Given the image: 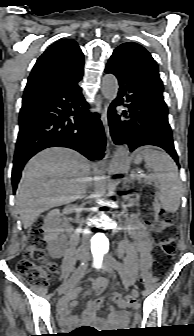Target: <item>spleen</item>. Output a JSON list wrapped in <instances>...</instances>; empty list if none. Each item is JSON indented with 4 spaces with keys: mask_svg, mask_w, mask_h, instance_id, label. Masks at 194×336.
I'll return each mask as SVG.
<instances>
[{
    "mask_svg": "<svg viewBox=\"0 0 194 336\" xmlns=\"http://www.w3.org/2000/svg\"><path fill=\"white\" fill-rule=\"evenodd\" d=\"M142 160L156 173L160 190L157 198L164 210L176 212L180 206L182 184L178 175V168L171 157L164 151L154 150L151 147H142L138 150L135 163Z\"/></svg>",
    "mask_w": 194,
    "mask_h": 336,
    "instance_id": "obj_1",
    "label": "spleen"
}]
</instances>
